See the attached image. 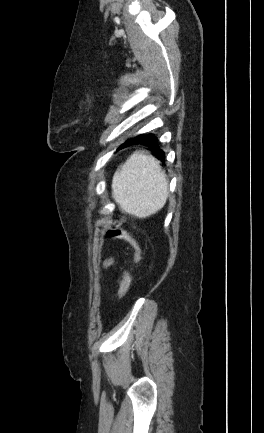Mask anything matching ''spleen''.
Here are the masks:
<instances>
[{
    "label": "spleen",
    "mask_w": 264,
    "mask_h": 433,
    "mask_svg": "<svg viewBox=\"0 0 264 433\" xmlns=\"http://www.w3.org/2000/svg\"><path fill=\"white\" fill-rule=\"evenodd\" d=\"M168 183L160 162L136 151L114 173L112 196L120 209L137 218L149 217L166 204Z\"/></svg>",
    "instance_id": "obj_1"
}]
</instances>
